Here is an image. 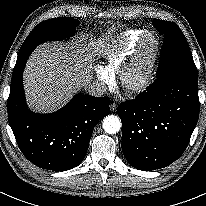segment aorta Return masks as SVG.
Wrapping results in <instances>:
<instances>
[{
    "label": "aorta",
    "instance_id": "762f6f07",
    "mask_svg": "<svg viewBox=\"0 0 206 206\" xmlns=\"http://www.w3.org/2000/svg\"><path fill=\"white\" fill-rule=\"evenodd\" d=\"M103 129L108 134H116L121 128V121L115 115H108L103 120Z\"/></svg>",
    "mask_w": 206,
    "mask_h": 206
}]
</instances>
